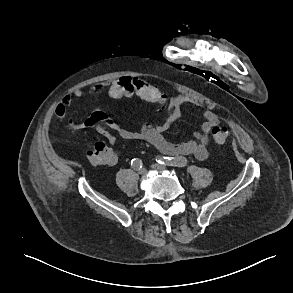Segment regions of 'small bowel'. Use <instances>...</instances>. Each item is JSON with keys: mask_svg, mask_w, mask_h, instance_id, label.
<instances>
[{"mask_svg": "<svg viewBox=\"0 0 293 293\" xmlns=\"http://www.w3.org/2000/svg\"><path fill=\"white\" fill-rule=\"evenodd\" d=\"M103 90H106L108 96L112 99L129 98L138 95L146 101L158 102L168 112L165 122L161 125L154 126L146 121L141 125L138 131H131L122 127L104 111L97 110L84 122H78L71 116L67 117L66 122L71 129L80 130L85 127L94 128L102 138L112 145L116 143L117 138L129 141L142 140L151 143L164 154L192 155L200 161H204L209 157L208 147L210 143V134L213 127L218 124V117L214 112L209 110L204 112V122L201 126V131L194 133V139L173 143L166 138V134L169 132L171 126L181 118L183 106L187 103L195 104L191 98L182 94H177L168 99L156 86L144 80L130 77H121L114 81L94 85L90 88L89 93L99 94ZM141 90L155 93L157 98L155 100H150L149 98L143 97L140 95ZM82 95L83 90L81 88H77L65 95L56 105L54 110L55 115L60 119H64L66 116V107L71 104L73 98L81 97ZM116 163L117 156L115 155V160L109 166H114Z\"/></svg>", "mask_w": 293, "mask_h": 293, "instance_id": "c3829d8e", "label": "small bowel"}]
</instances>
